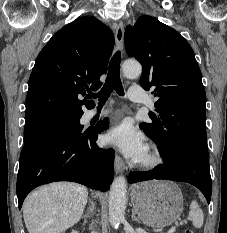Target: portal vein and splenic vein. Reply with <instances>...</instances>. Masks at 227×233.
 I'll return each instance as SVG.
<instances>
[{
  "instance_id": "obj_1",
  "label": "portal vein and splenic vein",
  "mask_w": 227,
  "mask_h": 233,
  "mask_svg": "<svg viewBox=\"0 0 227 233\" xmlns=\"http://www.w3.org/2000/svg\"><path fill=\"white\" fill-rule=\"evenodd\" d=\"M175 229H176V227L172 226L168 233H173L175 231Z\"/></svg>"
}]
</instances>
